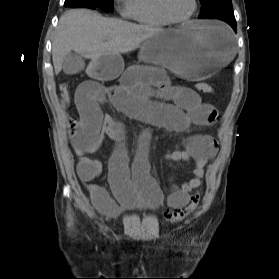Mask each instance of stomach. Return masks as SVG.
I'll list each match as a JSON object with an SVG mask.
<instances>
[{
  "label": "stomach",
  "mask_w": 279,
  "mask_h": 279,
  "mask_svg": "<svg viewBox=\"0 0 279 279\" xmlns=\"http://www.w3.org/2000/svg\"><path fill=\"white\" fill-rule=\"evenodd\" d=\"M227 24L192 21L177 29H166L141 47V58L158 69H170L182 82H206L214 72L226 69L238 50L234 49ZM120 55L92 58L80 75L92 82H113L123 70Z\"/></svg>",
  "instance_id": "stomach-1"
}]
</instances>
